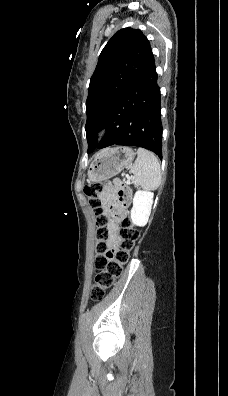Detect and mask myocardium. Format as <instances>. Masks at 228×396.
Listing matches in <instances>:
<instances>
[{
  "label": "myocardium",
  "mask_w": 228,
  "mask_h": 396,
  "mask_svg": "<svg viewBox=\"0 0 228 396\" xmlns=\"http://www.w3.org/2000/svg\"><path fill=\"white\" fill-rule=\"evenodd\" d=\"M106 131L105 129H101L96 133V140L101 141L105 137Z\"/></svg>",
  "instance_id": "1"
}]
</instances>
